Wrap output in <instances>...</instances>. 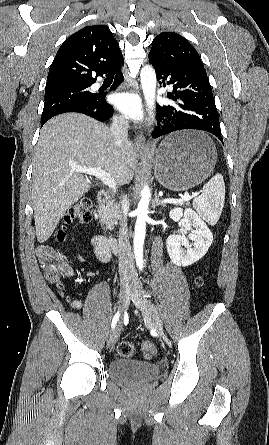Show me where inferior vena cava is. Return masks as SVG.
<instances>
[{
  "instance_id": "1",
  "label": "inferior vena cava",
  "mask_w": 269,
  "mask_h": 445,
  "mask_svg": "<svg viewBox=\"0 0 269 445\" xmlns=\"http://www.w3.org/2000/svg\"><path fill=\"white\" fill-rule=\"evenodd\" d=\"M128 120L124 117H117L113 120L110 132L113 135L116 145L121 146L128 139ZM119 247V272L121 280H136L137 273L134 266V257L128 237L126 219L122 218L118 232Z\"/></svg>"
}]
</instances>
